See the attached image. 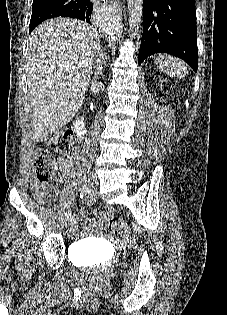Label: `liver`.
Segmentation results:
<instances>
[{
	"mask_svg": "<svg viewBox=\"0 0 227 315\" xmlns=\"http://www.w3.org/2000/svg\"><path fill=\"white\" fill-rule=\"evenodd\" d=\"M99 51L98 31L84 21L55 18L35 28L26 76L36 141L46 140L81 108L95 60L102 67Z\"/></svg>",
	"mask_w": 227,
	"mask_h": 315,
	"instance_id": "6515ba94",
	"label": "liver"
}]
</instances>
